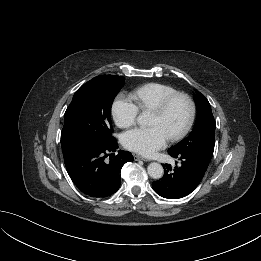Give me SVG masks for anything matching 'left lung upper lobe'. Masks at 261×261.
I'll use <instances>...</instances> for the list:
<instances>
[{"instance_id": "1", "label": "left lung upper lobe", "mask_w": 261, "mask_h": 261, "mask_svg": "<svg viewBox=\"0 0 261 261\" xmlns=\"http://www.w3.org/2000/svg\"><path fill=\"white\" fill-rule=\"evenodd\" d=\"M197 117L190 135L168 149L169 153H186L209 165L215 144V120L206 97L197 93L195 96Z\"/></svg>"}]
</instances>
